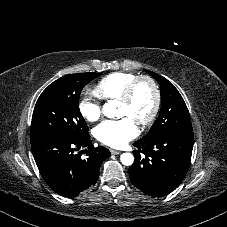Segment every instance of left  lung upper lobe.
<instances>
[{
	"label": "left lung upper lobe",
	"instance_id": "obj_1",
	"mask_svg": "<svg viewBox=\"0 0 227 227\" xmlns=\"http://www.w3.org/2000/svg\"><path fill=\"white\" fill-rule=\"evenodd\" d=\"M154 77L161 88V110L149 132L139 139L148 142L161 137L193 133L187 106L174 85L159 74L145 70Z\"/></svg>",
	"mask_w": 227,
	"mask_h": 227
}]
</instances>
